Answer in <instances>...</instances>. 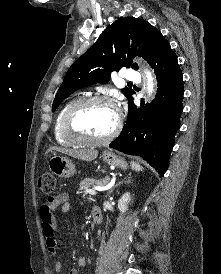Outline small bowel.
<instances>
[{
	"instance_id": "obj_1",
	"label": "small bowel",
	"mask_w": 221,
	"mask_h": 274,
	"mask_svg": "<svg viewBox=\"0 0 221 274\" xmlns=\"http://www.w3.org/2000/svg\"><path fill=\"white\" fill-rule=\"evenodd\" d=\"M60 209L61 213H66L69 210V196L60 194L55 197H49L43 202L39 209L42 231L45 237V243L48 251L56 255L58 251V233L56 225L55 212ZM62 270V263L57 260L55 262V272L59 274ZM68 274H79L75 268L71 269Z\"/></svg>"
}]
</instances>
